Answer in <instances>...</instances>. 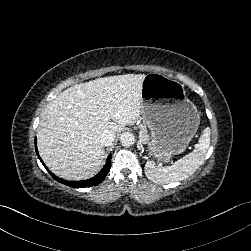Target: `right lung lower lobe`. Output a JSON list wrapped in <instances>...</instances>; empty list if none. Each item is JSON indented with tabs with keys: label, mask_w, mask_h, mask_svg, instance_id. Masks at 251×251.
I'll list each match as a JSON object with an SVG mask.
<instances>
[{
	"label": "right lung lower lobe",
	"mask_w": 251,
	"mask_h": 251,
	"mask_svg": "<svg viewBox=\"0 0 251 251\" xmlns=\"http://www.w3.org/2000/svg\"><path fill=\"white\" fill-rule=\"evenodd\" d=\"M35 149H36V153L38 154L36 146H35ZM39 159L42 162V164L44 165V163L40 157H39ZM110 159H111V155L108 156L105 166L96 176L92 177L91 179L83 180V181H67V180L60 179L57 176H55L54 174H52L45 165H44V167L47 169V171L50 173V175L58 182L63 183L65 185H68L70 187L82 188V187L95 186V185L101 183L105 179L106 175L110 171V167H111Z\"/></svg>",
	"instance_id": "98d812e1"
}]
</instances>
